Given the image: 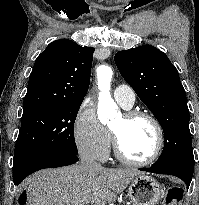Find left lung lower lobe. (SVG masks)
Listing matches in <instances>:
<instances>
[{
  "instance_id": "obj_1",
  "label": "left lung lower lobe",
  "mask_w": 199,
  "mask_h": 205,
  "mask_svg": "<svg viewBox=\"0 0 199 205\" xmlns=\"http://www.w3.org/2000/svg\"><path fill=\"white\" fill-rule=\"evenodd\" d=\"M142 171L157 173V174H168L176 176L182 179L186 185L187 190L190 186L193 177V171H190L182 166L178 165H165V166H151L149 168H140Z\"/></svg>"
}]
</instances>
